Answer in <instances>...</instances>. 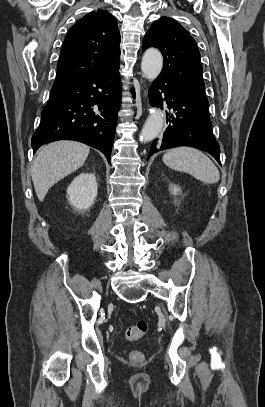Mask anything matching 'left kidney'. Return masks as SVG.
Instances as JSON below:
<instances>
[{
  "label": "left kidney",
  "instance_id": "left-kidney-1",
  "mask_svg": "<svg viewBox=\"0 0 265 407\" xmlns=\"http://www.w3.org/2000/svg\"><path fill=\"white\" fill-rule=\"evenodd\" d=\"M180 191V188L178 186H171V192L172 194L176 195Z\"/></svg>",
  "mask_w": 265,
  "mask_h": 407
}]
</instances>
